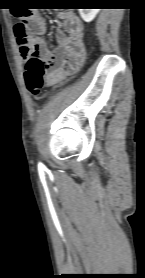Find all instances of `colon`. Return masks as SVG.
Wrapping results in <instances>:
<instances>
[{"label":"colon","instance_id":"5ec220e1","mask_svg":"<svg viewBox=\"0 0 145 278\" xmlns=\"http://www.w3.org/2000/svg\"><path fill=\"white\" fill-rule=\"evenodd\" d=\"M27 14H24L26 16ZM15 32L17 36V41L20 46V50L23 52H28L32 45V36L30 31L26 26L25 20H22L16 24ZM65 74L71 76L75 74L78 69L72 66L66 65L64 67ZM25 81L29 92L38 97L46 86L47 81V65L42 60L41 57L36 55H31L26 63L25 67Z\"/></svg>","mask_w":145,"mask_h":278}]
</instances>
